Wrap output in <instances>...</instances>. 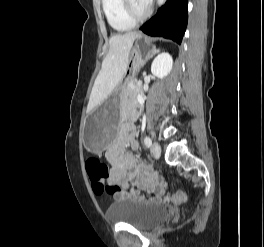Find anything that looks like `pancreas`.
<instances>
[{
	"instance_id": "pancreas-1",
	"label": "pancreas",
	"mask_w": 264,
	"mask_h": 247,
	"mask_svg": "<svg viewBox=\"0 0 264 247\" xmlns=\"http://www.w3.org/2000/svg\"><path fill=\"white\" fill-rule=\"evenodd\" d=\"M140 85L135 78H131L127 81L125 86L124 99L126 102L131 101L134 106H137L136 96L138 91H140Z\"/></svg>"
}]
</instances>
